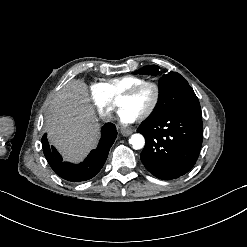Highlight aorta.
Instances as JSON below:
<instances>
[{
	"mask_svg": "<svg viewBox=\"0 0 247 247\" xmlns=\"http://www.w3.org/2000/svg\"><path fill=\"white\" fill-rule=\"evenodd\" d=\"M129 144L133 147V149L138 150L144 147L145 139L141 134H133L129 139Z\"/></svg>",
	"mask_w": 247,
	"mask_h": 247,
	"instance_id": "obj_1",
	"label": "aorta"
}]
</instances>
